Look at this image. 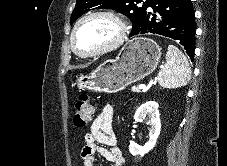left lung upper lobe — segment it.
Here are the masks:
<instances>
[{"mask_svg": "<svg viewBox=\"0 0 227 166\" xmlns=\"http://www.w3.org/2000/svg\"><path fill=\"white\" fill-rule=\"evenodd\" d=\"M141 2L142 0H77L70 23L72 24L76 19L93 8H112L126 15L132 21L133 30L130 36H133L139 29L146 13V2L142 6H137L136 4Z\"/></svg>", "mask_w": 227, "mask_h": 166, "instance_id": "obj_1", "label": "left lung upper lobe"}]
</instances>
